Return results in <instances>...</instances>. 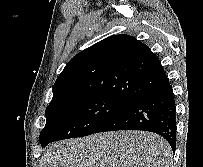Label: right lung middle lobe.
Returning <instances> with one entry per match:
<instances>
[{"label":"right lung middle lobe","instance_id":"right-lung-middle-lobe-1","mask_svg":"<svg viewBox=\"0 0 203 167\" xmlns=\"http://www.w3.org/2000/svg\"><path fill=\"white\" fill-rule=\"evenodd\" d=\"M128 104L114 97L96 95L47 108L46 125L40 133L41 145L96 133Z\"/></svg>","mask_w":203,"mask_h":167}]
</instances>
